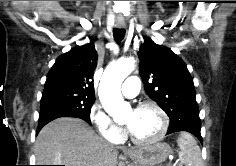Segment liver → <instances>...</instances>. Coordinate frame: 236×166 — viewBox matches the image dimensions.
Masks as SVG:
<instances>
[{
    "instance_id": "obj_1",
    "label": "liver",
    "mask_w": 236,
    "mask_h": 166,
    "mask_svg": "<svg viewBox=\"0 0 236 166\" xmlns=\"http://www.w3.org/2000/svg\"><path fill=\"white\" fill-rule=\"evenodd\" d=\"M37 165L117 166L114 147L83 120L61 117L48 123L35 141Z\"/></svg>"
}]
</instances>
